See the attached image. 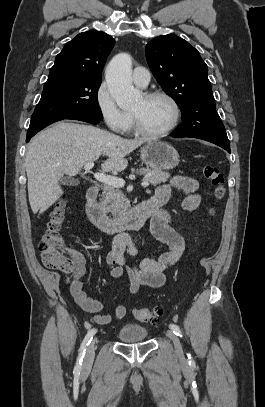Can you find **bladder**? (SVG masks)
<instances>
[{
    "instance_id": "1",
    "label": "bladder",
    "mask_w": 265,
    "mask_h": 407,
    "mask_svg": "<svg viewBox=\"0 0 265 407\" xmlns=\"http://www.w3.org/2000/svg\"><path fill=\"white\" fill-rule=\"evenodd\" d=\"M148 330L137 324H125L118 332V339L122 343H137L146 340Z\"/></svg>"
}]
</instances>
